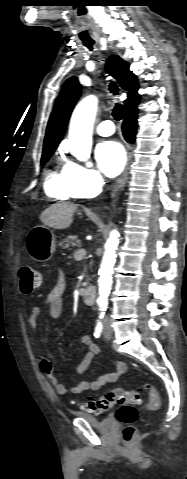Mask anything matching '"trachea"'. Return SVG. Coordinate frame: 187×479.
I'll list each match as a JSON object with an SVG mask.
<instances>
[{
  "label": "trachea",
  "instance_id": "trachea-1",
  "mask_svg": "<svg viewBox=\"0 0 187 479\" xmlns=\"http://www.w3.org/2000/svg\"><path fill=\"white\" fill-rule=\"evenodd\" d=\"M83 44H84L88 49L92 50V49H93L94 41H92V40L83 41ZM109 90H110V92H111L112 94L118 95V90H119V89H118L117 85H116L114 82H112V83L110 84ZM112 115H113V117H114L115 120H117V121L121 120V119L123 118V115H124V107H123L121 104L117 103V104L115 105L113 111H112Z\"/></svg>",
  "mask_w": 187,
  "mask_h": 479
}]
</instances>
